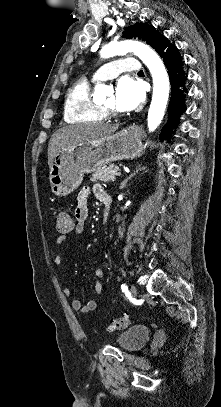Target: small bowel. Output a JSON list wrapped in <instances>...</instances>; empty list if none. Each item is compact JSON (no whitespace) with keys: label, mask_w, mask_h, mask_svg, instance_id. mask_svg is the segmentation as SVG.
<instances>
[{"label":"small bowel","mask_w":221,"mask_h":407,"mask_svg":"<svg viewBox=\"0 0 221 407\" xmlns=\"http://www.w3.org/2000/svg\"><path fill=\"white\" fill-rule=\"evenodd\" d=\"M95 197L103 202V199L106 195H109L107 191L100 185H96L93 189ZM90 195V190L88 188H83L77 196V206L74 212L75 223L73 228V233L80 234L86 225V221L89 215V207H88V197ZM67 239V235H60L56 239V243L61 245ZM55 262L60 265L62 259L58 256L55 258ZM95 281H94V291L97 294L102 293L103 291V284L102 280L105 277V271L102 268H96L94 271ZM66 296L71 297L72 291L71 289L66 288L64 290ZM98 302L95 299L88 300L85 304L78 299L72 300V307L74 310H77L81 313H89L97 309Z\"/></svg>","instance_id":"1"}]
</instances>
